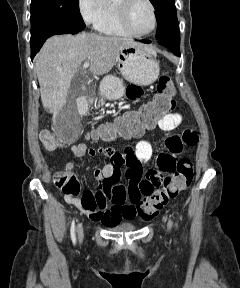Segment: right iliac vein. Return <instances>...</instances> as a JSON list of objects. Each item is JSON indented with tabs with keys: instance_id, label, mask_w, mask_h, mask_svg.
<instances>
[{
	"instance_id": "obj_1",
	"label": "right iliac vein",
	"mask_w": 240,
	"mask_h": 288,
	"mask_svg": "<svg viewBox=\"0 0 240 288\" xmlns=\"http://www.w3.org/2000/svg\"><path fill=\"white\" fill-rule=\"evenodd\" d=\"M77 234H78V239L81 242L83 240L84 233H83L82 224H80V223L77 225Z\"/></svg>"
}]
</instances>
